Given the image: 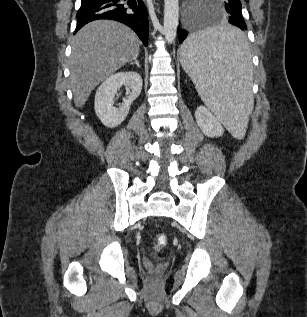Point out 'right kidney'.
Returning <instances> with one entry per match:
<instances>
[{
	"label": "right kidney",
	"mask_w": 307,
	"mask_h": 317,
	"mask_svg": "<svg viewBox=\"0 0 307 317\" xmlns=\"http://www.w3.org/2000/svg\"><path fill=\"white\" fill-rule=\"evenodd\" d=\"M142 84V77L138 73L126 71L109 76L100 85L95 94L94 109L103 125L114 128L125 120L132 102L141 93ZM123 85L131 92L127 98H123L122 105L115 108L114 97Z\"/></svg>",
	"instance_id": "1"
}]
</instances>
